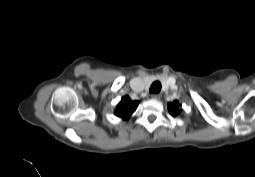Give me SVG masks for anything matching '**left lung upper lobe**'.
<instances>
[{"mask_svg": "<svg viewBox=\"0 0 255 177\" xmlns=\"http://www.w3.org/2000/svg\"><path fill=\"white\" fill-rule=\"evenodd\" d=\"M181 105L178 101H173L168 103V110L170 114L174 117L178 116L181 113Z\"/></svg>", "mask_w": 255, "mask_h": 177, "instance_id": "1", "label": "left lung upper lobe"}]
</instances>
